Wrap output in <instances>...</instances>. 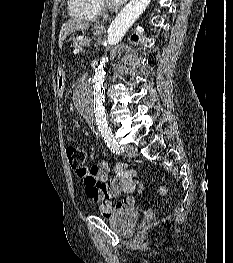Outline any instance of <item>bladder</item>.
I'll return each mask as SVG.
<instances>
[{
    "instance_id": "bladder-1",
    "label": "bladder",
    "mask_w": 233,
    "mask_h": 263,
    "mask_svg": "<svg viewBox=\"0 0 233 263\" xmlns=\"http://www.w3.org/2000/svg\"><path fill=\"white\" fill-rule=\"evenodd\" d=\"M138 221V214L132 208L116 210L108 217L111 228L122 235L130 236L133 234Z\"/></svg>"
}]
</instances>
